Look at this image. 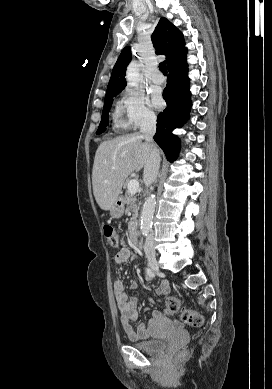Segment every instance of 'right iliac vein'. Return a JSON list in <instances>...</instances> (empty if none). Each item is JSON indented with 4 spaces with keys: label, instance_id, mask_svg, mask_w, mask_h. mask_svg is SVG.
<instances>
[{
    "label": "right iliac vein",
    "instance_id": "obj_1",
    "mask_svg": "<svg viewBox=\"0 0 272 389\" xmlns=\"http://www.w3.org/2000/svg\"><path fill=\"white\" fill-rule=\"evenodd\" d=\"M146 258H147L149 267L154 271H158L159 265H158L155 253H147Z\"/></svg>",
    "mask_w": 272,
    "mask_h": 389
}]
</instances>
